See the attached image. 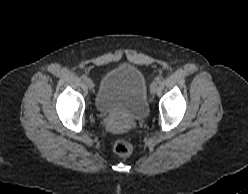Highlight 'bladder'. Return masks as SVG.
Returning a JSON list of instances; mask_svg holds the SVG:
<instances>
[{"label": "bladder", "mask_w": 248, "mask_h": 194, "mask_svg": "<svg viewBox=\"0 0 248 194\" xmlns=\"http://www.w3.org/2000/svg\"><path fill=\"white\" fill-rule=\"evenodd\" d=\"M100 113L122 112L130 121L144 120L149 113L147 86L141 70L131 64L108 71L94 100Z\"/></svg>", "instance_id": "bladder-1"}]
</instances>
